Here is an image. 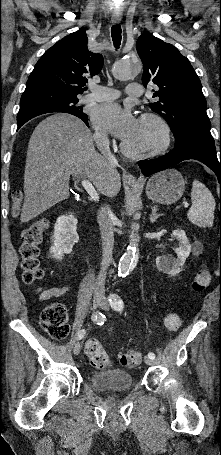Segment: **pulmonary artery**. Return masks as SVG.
<instances>
[{
  "instance_id": "obj_1",
  "label": "pulmonary artery",
  "mask_w": 221,
  "mask_h": 455,
  "mask_svg": "<svg viewBox=\"0 0 221 455\" xmlns=\"http://www.w3.org/2000/svg\"><path fill=\"white\" fill-rule=\"evenodd\" d=\"M128 95L140 96L142 94V88L138 83H130L125 89ZM120 95L119 91L110 87L103 86H91L90 93L83 97V102H103L112 101L118 98Z\"/></svg>"
}]
</instances>
